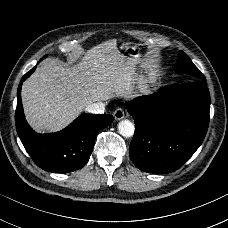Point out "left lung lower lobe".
Returning <instances> with one entry per match:
<instances>
[{
	"label": "left lung lower lobe",
	"instance_id": "left-lung-lower-lobe-1",
	"mask_svg": "<svg viewBox=\"0 0 228 228\" xmlns=\"http://www.w3.org/2000/svg\"><path fill=\"white\" fill-rule=\"evenodd\" d=\"M135 133L129 155L137 168L166 174L180 168L203 142L210 94L203 81L174 84L128 102Z\"/></svg>",
	"mask_w": 228,
	"mask_h": 228
}]
</instances>
